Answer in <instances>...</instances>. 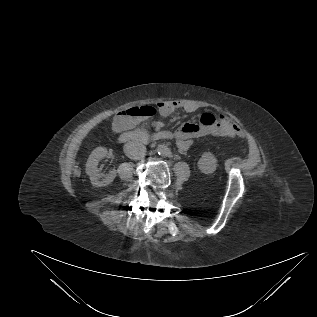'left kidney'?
I'll use <instances>...</instances> for the list:
<instances>
[{
  "label": "left kidney",
  "instance_id": "left-kidney-1",
  "mask_svg": "<svg viewBox=\"0 0 317 317\" xmlns=\"http://www.w3.org/2000/svg\"><path fill=\"white\" fill-rule=\"evenodd\" d=\"M198 169L204 174H211L216 170L217 159L211 152H205L198 160Z\"/></svg>",
  "mask_w": 317,
  "mask_h": 317
}]
</instances>
